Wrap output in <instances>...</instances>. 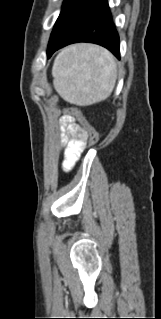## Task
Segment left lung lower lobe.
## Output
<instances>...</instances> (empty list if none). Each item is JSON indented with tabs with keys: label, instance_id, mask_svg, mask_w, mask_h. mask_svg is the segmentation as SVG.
<instances>
[{
	"label": "left lung lower lobe",
	"instance_id": "1",
	"mask_svg": "<svg viewBox=\"0 0 161 319\" xmlns=\"http://www.w3.org/2000/svg\"><path fill=\"white\" fill-rule=\"evenodd\" d=\"M77 42L101 45L120 59L119 35L112 22L107 0H102L63 38L48 46V58L56 50Z\"/></svg>",
	"mask_w": 161,
	"mask_h": 319
}]
</instances>
